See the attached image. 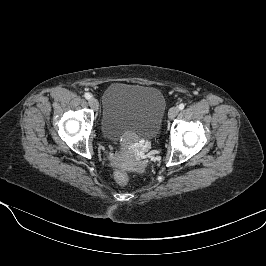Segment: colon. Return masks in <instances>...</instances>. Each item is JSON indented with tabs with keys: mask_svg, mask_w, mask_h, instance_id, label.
I'll return each instance as SVG.
<instances>
[{
	"mask_svg": "<svg viewBox=\"0 0 266 266\" xmlns=\"http://www.w3.org/2000/svg\"><path fill=\"white\" fill-rule=\"evenodd\" d=\"M114 179L119 185H126L129 182L128 173L123 169H117L114 172Z\"/></svg>",
	"mask_w": 266,
	"mask_h": 266,
	"instance_id": "obj_1",
	"label": "colon"
}]
</instances>
